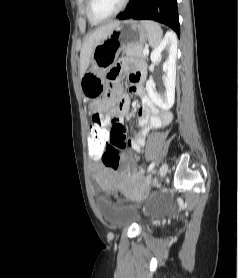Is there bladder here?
Masks as SVG:
<instances>
[{
  "label": "bladder",
  "instance_id": "bladder-1",
  "mask_svg": "<svg viewBox=\"0 0 238 278\" xmlns=\"http://www.w3.org/2000/svg\"><path fill=\"white\" fill-rule=\"evenodd\" d=\"M98 205L104 220L111 225L129 223L135 220V212L128 206L107 199H99Z\"/></svg>",
  "mask_w": 238,
  "mask_h": 278
}]
</instances>
